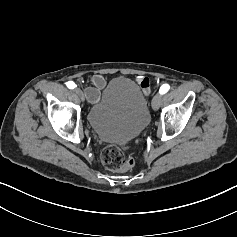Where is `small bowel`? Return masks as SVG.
<instances>
[{
    "mask_svg": "<svg viewBox=\"0 0 237 237\" xmlns=\"http://www.w3.org/2000/svg\"><path fill=\"white\" fill-rule=\"evenodd\" d=\"M137 82L141 86L144 92L148 93L150 91L149 79L144 76L137 77ZM106 85V79L100 75L95 74L90 77L88 84L85 87V95L88 101L95 103L100 98V92Z\"/></svg>",
    "mask_w": 237,
    "mask_h": 237,
    "instance_id": "small-bowel-1",
    "label": "small bowel"
}]
</instances>
